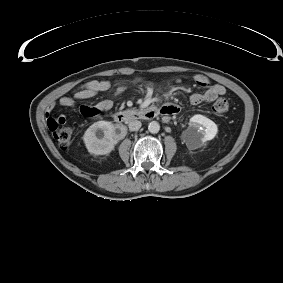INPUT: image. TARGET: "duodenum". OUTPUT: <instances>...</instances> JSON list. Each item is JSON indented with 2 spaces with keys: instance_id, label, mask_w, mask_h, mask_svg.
Here are the masks:
<instances>
[{
  "instance_id": "duodenum-1",
  "label": "duodenum",
  "mask_w": 283,
  "mask_h": 283,
  "mask_svg": "<svg viewBox=\"0 0 283 283\" xmlns=\"http://www.w3.org/2000/svg\"><path fill=\"white\" fill-rule=\"evenodd\" d=\"M162 113V109L152 107L136 112H117L114 114V121L117 125L124 127L127 122L136 120H150L158 114Z\"/></svg>"
}]
</instances>
